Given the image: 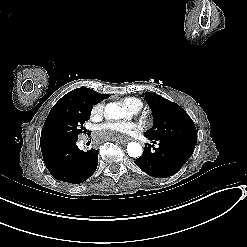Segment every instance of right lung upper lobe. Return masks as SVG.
I'll use <instances>...</instances> for the list:
<instances>
[{
    "label": "right lung upper lobe",
    "mask_w": 247,
    "mask_h": 247,
    "mask_svg": "<svg viewBox=\"0 0 247 247\" xmlns=\"http://www.w3.org/2000/svg\"><path fill=\"white\" fill-rule=\"evenodd\" d=\"M109 94H100L90 88H77L69 93H67L65 96H63L61 99L58 100L57 104L68 100V99H78L82 102H84L86 105L93 107V105L99 103L100 101L108 98Z\"/></svg>",
    "instance_id": "cb5924a9"
}]
</instances>
